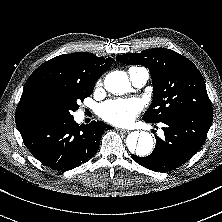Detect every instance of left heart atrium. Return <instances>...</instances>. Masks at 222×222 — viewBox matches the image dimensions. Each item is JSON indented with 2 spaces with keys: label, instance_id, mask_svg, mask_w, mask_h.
I'll return each mask as SVG.
<instances>
[{
  "label": "left heart atrium",
  "instance_id": "1",
  "mask_svg": "<svg viewBox=\"0 0 222 222\" xmlns=\"http://www.w3.org/2000/svg\"><path fill=\"white\" fill-rule=\"evenodd\" d=\"M142 104L137 98L115 99L103 103L99 108L100 116L115 125H128L138 115Z\"/></svg>",
  "mask_w": 222,
  "mask_h": 222
}]
</instances>
